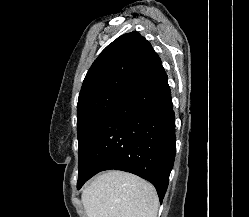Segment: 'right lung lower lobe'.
I'll list each match as a JSON object with an SVG mask.
<instances>
[{
  "mask_svg": "<svg viewBox=\"0 0 249 217\" xmlns=\"http://www.w3.org/2000/svg\"><path fill=\"white\" fill-rule=\"evenodd\" d=\"M167 75L158 63L126 91L94 132L79 164L77 188L103 170H122L151 182L162 202L176 149Z\"/></svg>",
  "mask_w": 249,
  "mask_h": 217,
  "instance_id": "98d812e1",
  "label": "right lung lower lobe"
}]
</instances>
